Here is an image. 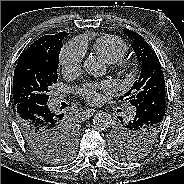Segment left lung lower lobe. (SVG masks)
I'll use <instances>...</instances> for the list:
<instances>
[{"label":"left lung lower lobe","instance_id":"1","mask_svg":"<svg viewBox=\"0 0 184 184\" xmlns=\"http://www.w3.org/2000/svg\"><path fill=\"white\" fill-rule=\"evenodd\" d=\"M165 97L166 95L157 94L140 103L136 107V114L129 121V124L135 127L162 124L165 116ZM160 133L161 129L158 130L153 140H156L160 136Z\"/></svg>","mask_w":184,"mask_h":184}]
</instances>
